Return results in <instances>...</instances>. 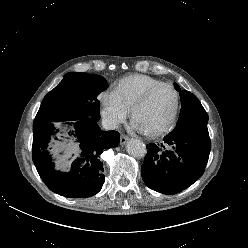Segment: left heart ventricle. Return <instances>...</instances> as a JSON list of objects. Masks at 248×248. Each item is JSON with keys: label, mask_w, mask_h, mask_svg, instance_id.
<instances>
[{"label": "left heart ventricle", "mask_w": 248, "mask_h": 248, "mask_svg": "<svg viewBox=\"0 0 248 248\" xmlns=\"http://www.w3.org/2000/svg\"><path fill=\"white\" fill-rule=\"evenodd\" d=\"M175 96L169 87L158 89L144 108L135 116L134 123L144 132H152L163 127L169 120L174 108Z\"/></svg>", "instance_id": "b2bd125f"}]
</instances>
